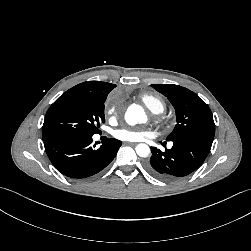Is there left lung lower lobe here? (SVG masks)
I'll use <instances>...</instances> for the list:
<instances>
[{"mask_svg": "<svg viewBox=\"0 0 251 251\" xmlns=\"http://www.w3.org/2000/svg\"><path fill=\"white\" fill-rule=\"evenodd\" d=\"M173 147L164 152L151 147L152 156L147 170L158 179L174 181L196 170L210 152L213 140L184 137L171 140Z\"/></svg>", "mask_w": 251, "mask_h": 251, "instance_id": "left-lung-lower-lobe-1", "label": "left lung lower lobe"}]
</instances>
